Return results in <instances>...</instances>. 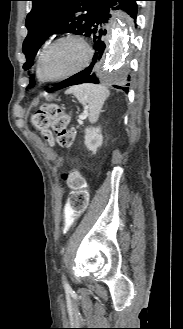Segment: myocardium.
I'll return each instance as SVG.
<instances>
[{"mask_svg":"<svg viewBox=\"0 0 183 329\" xmlns=\"http://www.w3.org/2000/svg\"><path fill=\"white\" fill-rule=\"evenodd\" d=\"M65 40H77L78 42H80L83 45V47L85 48V51H86V57H85L83 63L78 68H76L68 73H65L61 76L54 77V78L46 77L44 74V70H43V65H44V60H45L46 54L53 46H55L56 44H58L62 41H65ZM92 58H93V50H92L91 46L89 45V43L82 36H79L76 34H66V35L60 36V37L54 39L53 41H51L41 52V55L39 58V75H40L41 79L45 82L62 81V80L70 78V77L80 73L81 71H83L90 64Z\"/></svg>","mask_w":183,"mask_h":329,"instance_id":"1","label":"myocardium"}]
</instances>
